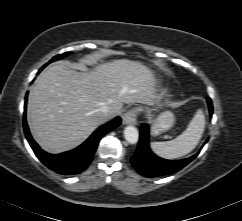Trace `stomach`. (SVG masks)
<instances>
[{
	"instance_id": "1",
	"label": "stomach",
	"mask_w": 242,
	"mask_h": 221,
	"mask_svg": "<svg viewBox=\"0 0 242 221\" xmlns=\"http://www.w3.org/2000/svg\"><path fill=\"white\" fill-rule=\"evenodd\" d=\"M175 123V118L172 112H162L153 122L151 127V134L153 136L160 135L161 133L171 129Z\"/></svg>"
}]
</instances>
